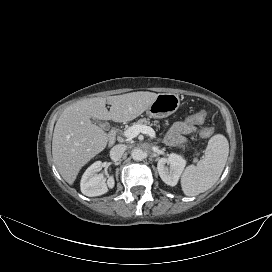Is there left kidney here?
I'll list each match as a JSON object with an SVG mask.
<instances>
[{
    "instance_id": "1",
    "label": "left kidney",
    "mask_w": 272,
    "mask_h": 272,
    "mask_svg": "<svg viewBox=\"0 0 272 272\" xmlns=\"http://www.w3.org/2000/svg\"><path fill=\"white\" fill-rule=\"evenodd\" d=\"M169 165V168L166 166ZM186 166V160L175 153L169 155L168 158H161L158 160L157 169L160 178L164 183L170 186H175Z\"/></svg>"
}]
</instances>
